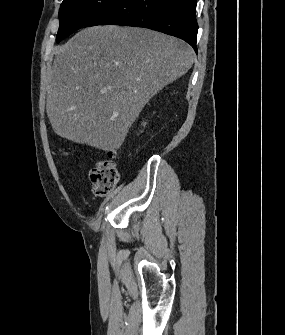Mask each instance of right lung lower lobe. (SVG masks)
<instances>
[{
  "mask_svg": "<svg viewBox=\"0 0 285 335\" xmlns=\"http://www.w3.org/2000/svg\"><path fill=\"white\" fill-rule=\"evenodd\" d=\"M197 0H115L83 27L124 25L143 27L178 37L197 53Z\"/></svg>",
  "mask_w": 285,
  "mask_h": 335,
  "instance_id": "obj_1",
  "label": "right lung lower lobe"
}]
</instances>
